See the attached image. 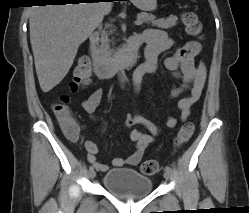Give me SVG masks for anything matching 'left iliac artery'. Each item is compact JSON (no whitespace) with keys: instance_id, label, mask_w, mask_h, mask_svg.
Masks as SVG:
<instances>
[{"instance_id":"obj_1","label":"left iliac artery","mask_w":249,"mask_h":213,"mask_svg":"<svg viewBox=\"0 0 249 213\" xmlns=\"http://www.w3.org/2000/svg\"><path fill=\"white\" fill-rule=\"evenodd\" d=\"M165 171L171 173L172 172V168L170 166H166L165 167Z\"/></svg>"}]
</instances>
